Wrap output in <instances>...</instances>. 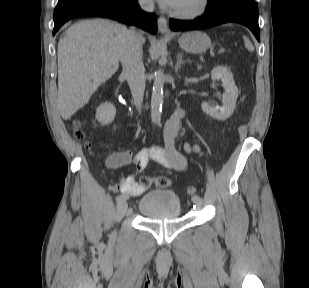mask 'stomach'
Returning <instances> with one entry per match:
<instances>
[{
	"mask_svg": "<svg viewBox=\"0 0 309 288\" xmlns=\"http://www.w3.org/2000/svg\"><path fill=\"white\" fill-rule=\"evenodd\" d=\"M179 45L187 52L202 53L211 46V40L203 32L191 31L183 34L179 38Z\"/></svg>",
	"mask_w": 309,
	"mask_h": 288,
	"instance_id": "1",
	"label": "stomach"
}]
</instances>
